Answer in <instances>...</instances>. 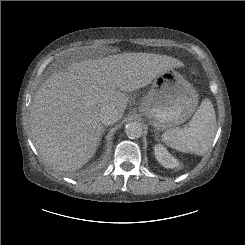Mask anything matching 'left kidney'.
<instances>
[{
  "instance_id": "5707ae66",
  "label": "left kidney",
  "mask_w": 245,
  "mask_h": 245,
  "mask_svg": "<svg viewBox=\"0 0 245 245\" xmlns=\"http://www.w3.org/2000/svg\"><path fill=\"white\" fill-rule=\"evenodd\" d=\"M154 151L156 159L164 167L175 168L179 165V162L162 145H156Z\"/></svg>"
}]
</instances>
